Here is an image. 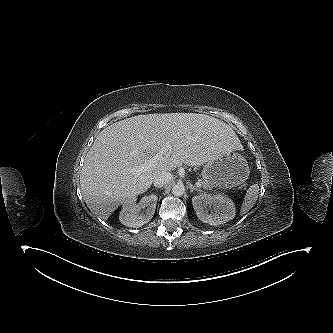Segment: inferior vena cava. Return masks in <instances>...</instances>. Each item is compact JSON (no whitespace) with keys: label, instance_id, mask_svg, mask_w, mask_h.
Returning a JSON list of instances; mask_svg holds the SVG:
<instances>
[{"label":"inferior vena cava","instance_id":"obj_1","mask_svg":"<svg viewBox=\"0 0 333 333\" xmlns=\"http://www.w3.org/2000/svg\"><path fill=\"white\" fill-rule=\"evenodd\" d=\"M172 178H173V175L169 172H165V171L159 172L158 174L155 175V177L153 179V184L155 187L161 188L164 185H166L167 183H169Z\"/></svg>","mask_w":333,"mask_h":333}]
</instances>
